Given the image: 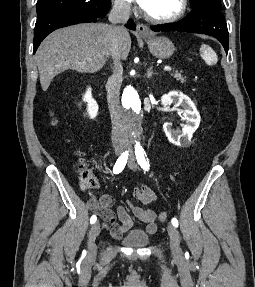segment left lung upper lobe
<instances>
[{
    "label": "left lung upper lobe",
    "mask_w": 255,
    "mask_h": 287,
    "mask_svg": "<svg viewBox=\"0 0 255 287\" xmlns=\"http://www.w3.org/2000/svg\"><path fill=\"white\" fill-rule=\"evenodd\" d=\"M190 4L192 8L198 6H208L215 8L217 10H221V1L220 0H190Z\"/></svg>",
    "instance_id": "left-lung-upper-lobe-1"
}]
</instances>
